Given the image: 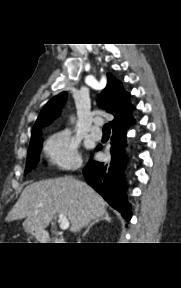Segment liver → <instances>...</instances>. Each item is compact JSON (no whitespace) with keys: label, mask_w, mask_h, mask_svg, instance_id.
Wrapping results in <instances>:
<instances>
[{"label":"liver","mask_w":181,"mask_h":288,"mask_svg":"<svg viewBox=\"0 0 181 288\" xmlns=\"http://www.w3.org/2000/svg\"><path fill=\"white\" fill-rule=\"evenodd\" d=\"M106 206L104 199L82 181L71 177L47 179L25 187L6 221L25 219V227L43 232L57 214L63 213L75 233L108 214Z\"/></svg>","instance_id":"liver-1"}]
</instances>
